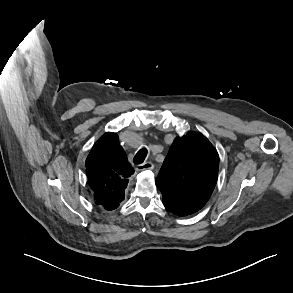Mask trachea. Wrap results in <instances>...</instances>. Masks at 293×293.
Returning <instances> with one entry per match:
<instances>
[{
    "mask_svg": "<svg viewBox=\"0 0 293 293\" xmlns=\"http://www.w3.org/2000/svg\"><path fill=\"white\" fill-rule=\"evenodd\" d=\"M146 156H147V149L143 148L137 152V154L135 155V157L133 159V162L135 164H141L144 162Z\"/></svg>",
    "mask_w": 293,
    "mask_h": 293,
    "instance_id": "trachea-1",
    "label": "trachea"
}]
</instances>
